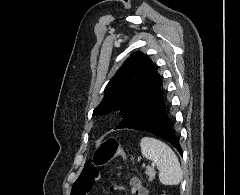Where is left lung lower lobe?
I'll use <instances>...</instances> for the list:
<instances>
[{"label": "left lung lower lobe", "instance_id": "0a47b994", "mask_svg": "<svg viewBox=\"0 0 240 195\" xmlns=\"http://www.w3.org/2000/svg\"><path fill=\"white\" fill-rule=\"evenodd\" d=\"M122 128L153 133L172 144L182 155L178 138L172 128L162 90L147 102L137 115Z\"/></svg>", "mask_w": 240, "mask_h": 195}]
</instances>
